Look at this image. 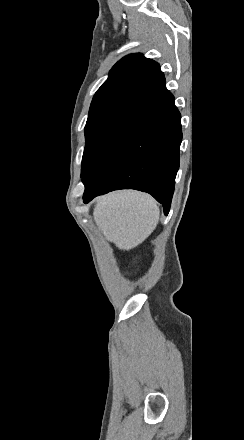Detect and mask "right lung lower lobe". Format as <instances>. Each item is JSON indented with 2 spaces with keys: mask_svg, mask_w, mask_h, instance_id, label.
<instances>
[{
  "mask_svg": "<svg viewBox=\"0 0 244 440\" xmlns=\"http://www.w3.org/2000/svg\"><path fill=\"white\" fill-rule=\"evenodd\" d=\"M180 113L165 84L141 98L114 126L82 178L84 203L117 189L151 194L168 214L179 168Z\"/></svg>",
  "mask_w": 244,
  "mask_h": 440,
  "instance_id": "98d812e1",
  "label": "right lung lower lobe"
}]
</instances>
